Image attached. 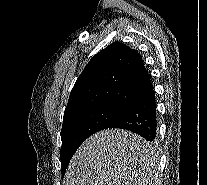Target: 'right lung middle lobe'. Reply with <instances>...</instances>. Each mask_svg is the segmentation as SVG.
<instances>
[{
	"label": "right lung middle lobe",
	"mask_w": 207,
	"mask_h": 185,
	"mask_svg": "<svg viewBox=\"0 0 207 185\" xmlns=\"http://www.w3.org/2000/svg\"><path fill=\"white\" fill-rule=\"evenodd\" d=\"M121 110V108L114 106L101 105L84 109L64 118L60 152L62 176H64L72 156L82 142L92 134L106 129Z\"/></svg>",
	"instance_id": "dd1d6c3e"
}]
</instances>
